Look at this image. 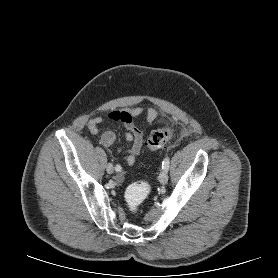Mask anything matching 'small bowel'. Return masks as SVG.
Wrapping results in <instances>:
<instances>
[{
    "mask_svg": "<svg viewBox=\"0 0 278 278\" xmlns=\"http://www.w3.org/2000/svg\"><path fill=\"white\" fill-rule=\"evenodd\" d=\"M145 113L146 120L148 122L154 121L159 113L154 108H148L145 112L141 107H133L123 110H117L110 112L106 117H95L89 121L88 128L92 133H97L99 126L105 121L121 122L126 128L124 135L128 142H131V147L124 156V161L129 165H134L138 156L141 153L143 146V132L135 124V119ZM101 144L106 148H111L116 145V135L112 131H105L100 138ZM119 152L120 148L117 149ZM123 176L118 175L117 180L122 181Z\"/></svg>",
    "mask_w": 278,
    "mask_h": 278,
    "instance_id": "1",
    "label": "small bowel"
}]
</instances>
